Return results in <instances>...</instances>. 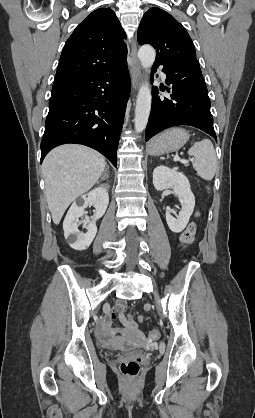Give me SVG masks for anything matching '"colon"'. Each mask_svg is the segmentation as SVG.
Segmentation results:
<instances>
[{
  "mask_svg": "<svg viewBox=\"0 0 255 418\" xmlns=\"http://www.w3.org/2000/svg\"><path fill=\"white\" fill-rule=\"evenodd\" d=\"M187 228H196V225L192 223ZM159 336L160 333L158 330H152L150 332L151 339H158ZM120 370L124 376L128 378H135L140 371V362L136 359H125L120 363Z\"/></svg>",
  "mask_w": 255,
  "mask_h": 418,
  "instance_id": "5ec220e1",
  "label": "colon"
}]
</instances>
